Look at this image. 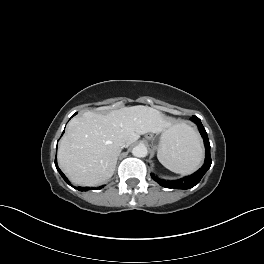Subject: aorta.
Listing matches in <instances>:
<instances>
[{
  "label": "aorta",
  "instance_id": "762f6f07",
  "mask_svg": "<svg viewBox=\"0 0 264 264\" xmlns=\"http://www.w3.org/2000/svg\"><path fill=\"white\" fill-rule=\"evenodd\" d=\"M148 153L147 147L145 145H137L133 148L132 154L135 157H146Z\"/></svg>",
  "mask_w": 264,
  "mask_h": 264
}]
</instances>
